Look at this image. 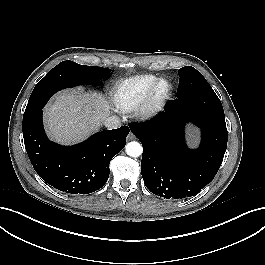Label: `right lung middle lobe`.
<instances>
[{
	"mask_svg": "<svg viewBox=\"0 0 265 265\" xmlns=\"http://www.w3.org/2000/svg\"><path fill=\"white\" fill-rule=\"evenodd\" d=\"M110 71L107 68L80 65L69 60L59 63L35 86L23 119L43 108L55 92L80 84H102V79L110 77Z\"/></svg>",
	"mask_w": 265,
	"mask_h": 265,
	"instance_id": "1",
	"label": "right lung middle lobe"
}]
</instances>
